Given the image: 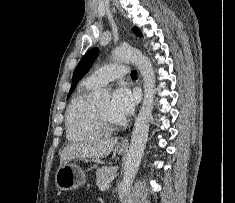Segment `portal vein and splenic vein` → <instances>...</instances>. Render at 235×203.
Masks as SVG:
<instances>
[{"label": "portal vein and splenic vein", "instance_id": "portal-vein-and-splenic-vein-1", "mask_svg": "<svg viewBox=\"0 0 235 203\" xmlns=\"http://www.w3.org/2000/svg\"><path fill=\"white\" fill-rule=\"evenodd\" d=\"M109 187H110V184L107 183V184H104V185L100 186L99 189H100L101 191H105V190H107Z\"/></svg>", "mask_w": 235, "mask_h": 203}]
</instances>
